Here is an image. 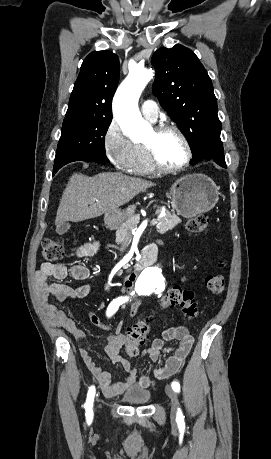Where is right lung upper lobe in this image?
<instances>
[{
	"mask_svg": "<svg viewBox=\"0 0 271 459\" xmlns=\"http://www.w3.org/2000/svg\"><path fill=\"white\" fill-rule=\"evenodd\" d=\"M119 80V58L111 51L90 53L82 63L66 115L112 116V98Z\"/></svg>",
	"mask_w": 271,
	"mask_h": 459,
	"instance_id": "right-lung-upper-lobe-1",
	"label": "right lung upper lobe"
}]
</instances>
